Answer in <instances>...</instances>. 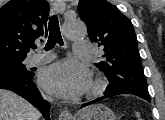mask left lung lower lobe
<instances>
[{"label":"left lung lower lobe","mask_w":165,"mask_h":120,"mask_svg":"<svg viewBox=\"0 0 165 120\" xmlns=\"http://www.w3.org/2000/svg\"><path fill=\"white\" fill-rule=\"evenodd\" d=\"M107 97H111V96L110 95L102 96V97L97 98V99H95V100H93L91 102H88V103L83 104L82 107L87 106V105H91V104H94V103H97V102H99V101H101V100H103V99H105ZM145 100H147V99H145ZM147 101L150 102L149 100H147Z\"/></svg>","instance_id":"obj_1"}]
</instances>
